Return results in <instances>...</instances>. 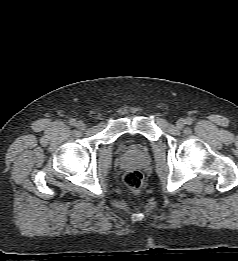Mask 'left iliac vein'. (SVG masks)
I'll list each match as a JSON object with an SVG mask.
<instances>
[{"label":"left iliac vein","mask_w":238,"mask_h":261,"mask_svg":"<svg viewBox=\"0 0 238 261\" xmlns=\"http://www.w3.org/2000/svg\"><path fill=\"white\" fill-rule=\"evenodd\" d=\"M186 124V121L184 119H179L177 122H176V126L178 129H182Z\"/></svg>","instance_id":"left-iliac-vein-1"}]
</instances>
